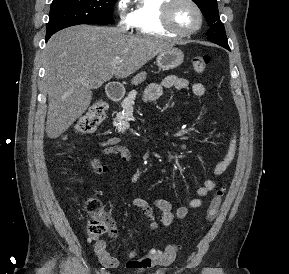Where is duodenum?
<instances>
[{
	"mask_svg": "<svg viewBox=\"0 0 289 274\" xmlns=\"http://www.w3.org/2000/svg\"><path fill=\"white\" fill-rule=\"evenodd\" d=\"M106 94L111 101H117L122 96V89L118 84L111 83L106 88Z\"/></svg>",
	"mask_w": 289,
	"mask_h": 274,
	"instance_id": "duodenum-1",
	"label": "duodenum"
}]
</instances>
